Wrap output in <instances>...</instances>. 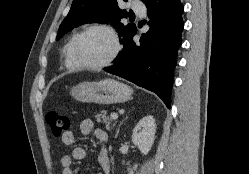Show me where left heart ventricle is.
<instances>
[{"label": "left heart ventricle", "mask_w": 249, "mask_h": 174, "mask_svg": "<svg viewBox=\"0 0 249 174\" xmlns=\"http://www.w3.org/2000/svg\"><path fill=\"white\" fill-rule=\"evenodd\" d=\"M112 49L110 36L104 31L95 30L83 37L78 47V55L85 63L97 64L107 59Z\"/></svg>", "instance_id": "obj_1"}]
</instances>
